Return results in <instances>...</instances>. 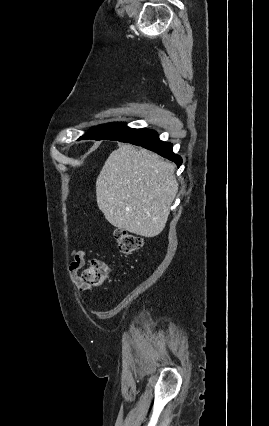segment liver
<instances>
[{
  "instance_id": "obj_1",
  "label": "liver",
  "mask_w": 269,
  "mask_h": 426,
  "mask_svg": "<svg viewBox=\"0 0 269 426\" xmlns=\"http://www.w3.org/2000/svg\"><path fill=\"white\" fill-rule=\"evenodd\" d=\"M177 191L175 166L131 144L109 155L96 180L97 205L106 220L147 238L165 228Z\"/></svg>"
}]
</instances>
